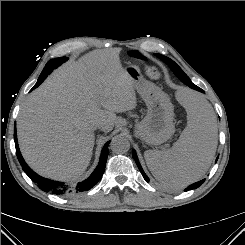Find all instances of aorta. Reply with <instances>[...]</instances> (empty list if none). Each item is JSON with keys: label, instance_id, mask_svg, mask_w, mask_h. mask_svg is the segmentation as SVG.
I'll return each mask as SVG.
<instances>
[{"label": "aorta", "instance_id": "762f6f07", "mask_svg": "<svg viewBox=\"0 0 245 245\" xmlns=\"http://www.w3.org/2000/svg\"><path fill=\"white\" fill-rule=\"evenodd\" d=\"M110 148L115 153H126L130 149V142L122 135L115 136L110 144Z\"/></svg>", "mask_w": 245, "mask_h": 245}]
</instances>
